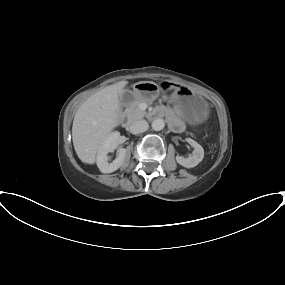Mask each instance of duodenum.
<instances>
[{
    "instance_id": "410a0bca",
    "label": "duodenum",
    "mask_w": 285,
    "mask_h": 285,
    "mask_svg": "<svg viewBox=\"0 0 285 285\" xmlns=\"http://www.w3.org/2000/svg\"><path fill=\"white\" fill-rule=\"evenodd\" d=\"M157 113H158L157 111H153L152 113H149L148 116L149 117H154V116L157 115Z\"/></svg>"
}]
</instances>
